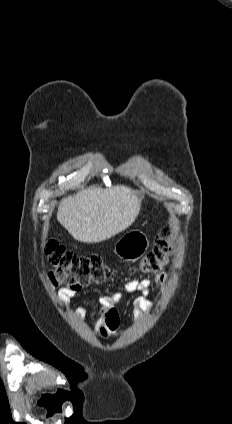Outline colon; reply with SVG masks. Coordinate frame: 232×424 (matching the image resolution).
Returning a JSON list of instances; mask_svg holds the SVG:
<instances>
[{
	"mask_svg": "<svg viewBox=\"0 0 232 424\" xmlns=\"http://www.w3.org/2000/svg\"><path fill=\"white\" fill-rule=\"evenodd\" d=\"M172 227L163 225L153 239L152 248L143 256L139 269L144 273L163 269L174 256ZM46 255L50 265L53 282L65 284L72 289L103 283L115 275V272L98 254L89 256L75 254L54 241L47 244ZM131 273L135 269L130 270Z\"/></svg>",
	"mask_w": 232,
	"mask_h": 424,
	"instance_id": "obj_1",
	"label": "colon"
}]
</instances>
